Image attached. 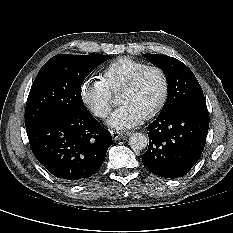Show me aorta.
Returning a JSON list of instances; mask_svg holds the SVG:
<instances>
[{
	"label": "aorta",
	"mask_w": 233,
	"mask_h": 233,
	"mask_svg": "<svg viewBox=\"0 0 233 233\" xmlns=\"http://www.w3.org/2000/svg\"><path fill=\"white\" fill-rule=\"evenodd\" d=\"M148 143V137L143 133H133L129 138L130 147L136 151L145 149Z\"/></svg>",
	"instance_id": "1"
}]
</instances>
